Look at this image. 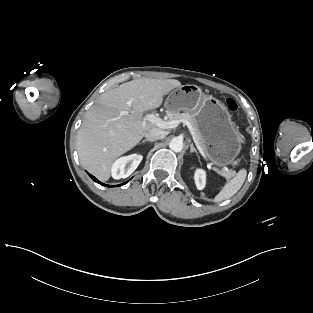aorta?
I'll return each mask as SVG.
<instances>
[{
  "mask_svg": "<svg viewBox=\"0 0 313 313\" xmlns=\"http://www.w3.org/2000/svg\"><path fill=\"white\" fill-rule=\"evenodd\" d=\"M169 148L174 152H180L183 148V141L178 137L173 138L169 143Z\"/></svg>",
  "mask_w": 313,
  "mask_h": 313,
  "instance_id": "obj_1",
  "label": "aorta"
}]
</instances>
